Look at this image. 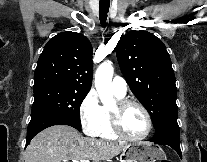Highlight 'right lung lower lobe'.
Masks as SVG:
<instances>
[{"label":"right lung lower lobe","mask_w":207,"mask_h":162,"mask_svg":"<svg viewBox=\"0 0 207 162\" xmlns=\"http://www.w3.org/2000/svg\"><path fill=\"white\" fill-rule=\"evenodd\" d=\"M53 125H69L75 129H80L81 127L76 125L71 120L57 115L36 116L34 118H31V121L28 125L26 146L37 133Z\"/></svg>","instance_id":"98d812e1"}]
</instances>
